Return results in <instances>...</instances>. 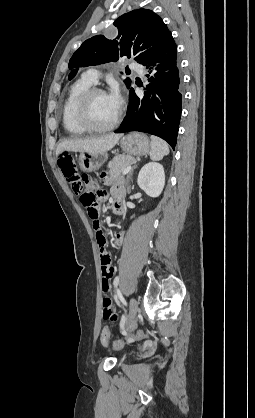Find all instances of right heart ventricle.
<instances>
[{"label": "right heart ventricle", "instance_id": "1", "mask_svg": "<svg viewBox=\"0 0 255 418\" xmlns=\"http://www.w3.org/2000/svg\"><path fill=\"white\" fill-rule=\"evenodd\" d=\"M93 83L82 77L72 84L62 106V123L65 131L72 136H81L87 131L76 120V109L79 99Z\"/></svg>", "mask_w": 255, "mask_h": 418}]
</instances>
